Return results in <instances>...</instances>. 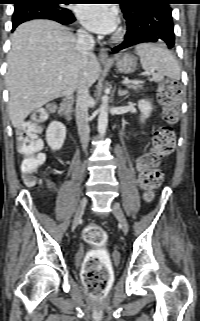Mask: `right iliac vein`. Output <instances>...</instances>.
<instances>
[{
    "label": "right iliac vein",
    "mask_w": 200,
    "mask_h": 321,
    "mask_svg": "<svg viewBox=\"0 0 200 321\" xmlns=\"http://www.w3.org/2000/svg\"><path fill=\"white\" fill-rule=\"evenodd\" d=\"M86 204H87V198L84 196L80 200V203L76 209L74 219H73V228L78 224L80 218L82 217L85 207H86Z\"/></svg>",
    "instance_id": "obj_1"
}]
</instances>
